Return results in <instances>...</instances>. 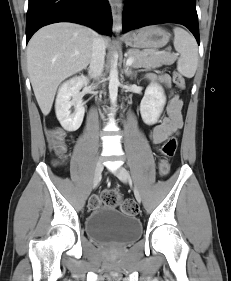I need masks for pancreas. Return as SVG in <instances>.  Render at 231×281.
<instances>
[{
  "label": "pancreas",
  "instance_id": "obj_1",
  "mask_svg": "<svg viewBox=\"0 0 231 281\" xmlns=\"http://www.w3.org/2000/svg\"><path fill=\"white\" fill-rule=\"evenodd\" d=\"M128 58H133V68H157L162 65H171L175 62V55L165 52H155L153 50L129 49L127 51Z\"/></svg>",
  "mask_w": 231,
  "mask_h": 281
}]
</instances>
